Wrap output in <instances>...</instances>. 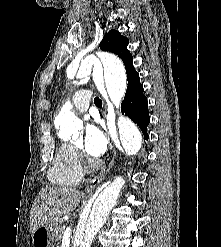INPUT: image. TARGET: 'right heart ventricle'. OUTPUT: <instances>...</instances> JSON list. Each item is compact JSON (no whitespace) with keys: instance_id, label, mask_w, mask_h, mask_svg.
Returning a JSON list of instances; mask_svg holds the SVG:
<instances>
[{"instance_id":"right-heart-ventricle-1","label":"right heart ventricle","mask_w":221,"mask_h":247,"mask_svg":"<svg viewBox=\"0 0 221 247\" xmlns=\"http://www.w3.org/2000/svg\"><path fill=\"white\" fill-rule=\"evenodd\" d=\"M81 177L82 170L75 148L69 143H61L48 171L50 182L61 186H72L78 184Z\"/></svg>"}]
</instances>
